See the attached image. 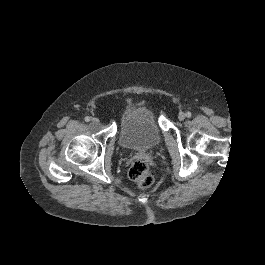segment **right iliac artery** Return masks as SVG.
Segmentation results:
<instances>
[{"label": "right iliac artery", "instance_id": "obj_1", "mask_svg": "<svg viewBox=\"0 0 265 265\" xmlns=\"http://www.w3.org/2000/svg\"><path fill=\"white\" fill-rule=\"evenodd\" d=\"M90 120H91V117H89V116L85 117L86 122H89Z\"/></svg>", "mask_w": 265, "mask_h": 265}]
</instances>
